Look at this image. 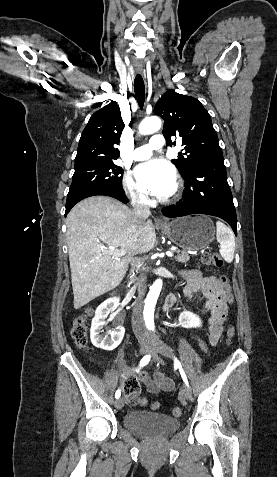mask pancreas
I'll list each match as a JSON object with an SVG mask.
<instances>
[{"label": "pancreas", "instance_id": "pancreas-1", "mask_svg": "<svg viewBox=\"0 0 277 477\" xmlns=\"http://www.w3.org/2000/svg\"><path fill=\"white\" fill-rule=\"evenodd\" d=\"M175 252L177 255L174 259L180 263H186L190 259V256L185 252H182L181 254L179 250H176Z\"/></svg>", "mask_w": 277, "mask_h": 477}]
</instances>
